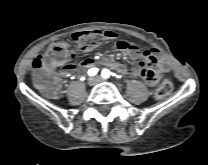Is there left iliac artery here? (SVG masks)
I'll return each mask as SVG.
<instances>
[{
	"mask_svg": "<svg viewBox=\"0 0 208 165\" xmlns=\"http://www.w3.org/2000/svg\"><path fill=\"white\" fill-rule=\"evenodd\" d=\"M109 75H110V71H109L108 69H104V70L102 71V77H103V78H108Z\"/></svg>",
	"mask_w": 208,
	"mask_h": 165,
	"instance_id": "44dca946",
	"label": "left iliac artery"
}]
</instances>
